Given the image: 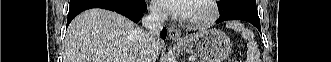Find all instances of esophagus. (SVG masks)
<instances>
[{"label": "esophagus", "mask_w": 331, "mask_h": 62, "mask_svg": "<svg viewBox=\"0 0 331 62\" xmlns=\"http://www.w3.org/2000/svg\"><path fill=\"white\" fill-rule=\"evenodd\" d=\"M168 34H169V37L174 40V41H180L181 40V32L179 29L173 27V26H170L168 28Z\"/></svg>", "instance_id": "obj_1"}]
</instances>
